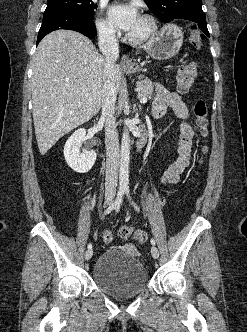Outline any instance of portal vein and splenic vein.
<instances>
[{
  "label": "portal vein and splenic vein",
  "instance_id": "obj_1",
  "mask_svg": "<svg viewBox=\"0 0 247 332\" xmlns=\"http://www.w3.org/2000/svg\"><path fill=\"white\" fill-rule=\"evenodd\" d=\"M86 96H89V94L87 93ZM146 102H147V98L146 97H142L140 99V103L145 104Z\"/></svg>",
  "mask_w": 247,
  "mask_h": 332
}]
</instances>
